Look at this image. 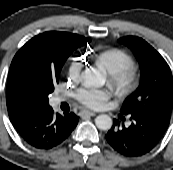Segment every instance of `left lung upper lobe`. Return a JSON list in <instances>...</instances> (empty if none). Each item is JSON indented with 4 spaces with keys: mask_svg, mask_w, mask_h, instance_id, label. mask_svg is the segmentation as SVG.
I'll return each mask as SVG.
<instances>
[{
    "mask_svg": "<svg viewBox=\"0 0 173 170\" xmlns=\"http://www.w3.org/2000/svg\"><path fill=\"white\" fill-rule=\"evenodd\" d=\"M119 42L133 51L140 66L139 86L125 100L121 113L149 116L169 125L173 109V78L168 64L139 37H123Z\"/></svg>",
    "mask_w": 173,
    "mask_h": 170,
    "instance_id": "5c2ea615",
    "label": "left lung upper lobe"
}]
</instances>
